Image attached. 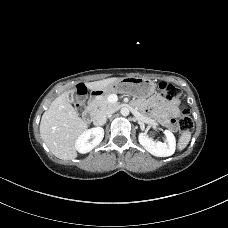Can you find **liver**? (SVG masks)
<instances>
[{
	"instance_id": "liver-1",
	"label": "liver",
	"mask_w": 228,
	"mask_h": 228,
	"mask_svg": "<svg viewBox=\"0 0 228 228\" xmlns=\"http://www.w3.org/2000/svg\"><path fill=\"white\" fill-rule=\"evenodd\" d=\"M120 78H107L100 81L86 83L92 91L105 88ZM69 91L59 95L44 112L40 122V135L54 156L62 160L77 157L75 142L88 128L77 111L71 105Z\"/></svg>"
}]
</instances>
